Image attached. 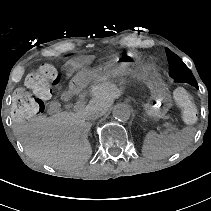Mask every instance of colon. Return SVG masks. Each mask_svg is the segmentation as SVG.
<instances>
[{
  "instance_id": "obj_1",
  "label": "colon",
  "mask_w": 211,
  "mask_h": 211,
  "mask_svg": "<svg viewBox=\"0 0 211 211\" xmlns=\"http://www.w3.org/2000/svg\"><path fill=\"white\" fill-rule=\"evenodd\" d=\"M58 82V71L50 64L41 65L30 72L25 79V87L17 88L13 93L12 118L24 123L39 116L44 111L45 100L50 98ZM174 99L181 110L183 121L194 124L198 119V109L191 93L178 88L174 92Z\"/></svg>"
}]
</instances>
